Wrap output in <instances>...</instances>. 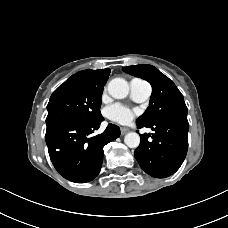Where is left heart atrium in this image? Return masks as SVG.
Segmentation results:
<instances>
[{"mask_svg":"<svg viewBox=\"0 0 228 228\" xmlns=\"http://www.w3.org/2000/svg\"><path fill=\"white\" fill-rule=\"evenodd\" d=\"M107 116L112 120L120 124H127L134 118V111L130 108L113 104L106 109Z\"/></svg>","mask_w":228,"mask_h":228,"instance_id":"left-heart-atrium-1","label":"left heart atrium"}]
</instances>
